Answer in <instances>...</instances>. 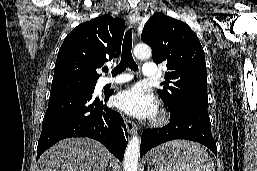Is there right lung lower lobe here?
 <instances>
[{
	"mask_svg": "<svg viewBox=\"0 0 257 171\" xmlns=\"http://www.w3.org/2000/svg\"><path fill=\"white\" fill-rule=\"evenodd\" d=\"M92 90L70 89L51 92L42 122L37 159L56 142L68 137H89L101 142L122 161L127 146V130L117 111L104 99L93 98Z\"/></svg>",
	"mask_w": 257,
	"mask_h": 171,
	"instance_id": "right-lung-lower-lobe-1",
	"label": "right lung lower lobe"
}]
</instances>
